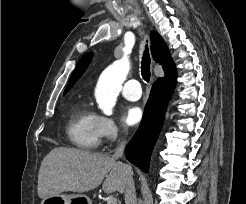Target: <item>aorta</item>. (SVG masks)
Instances as JSON below:
<instances>
[{
  "instance_id": "aorta-1",
  "label": "aorta",
  "mask_w": 246,
  "mask_h": 204,
  "mask_svg": "<svg viewBox=\"0 0 246 204\" xmlns=\"http://www.w3.org/2000/svg\"><path fill=\"white\" fill-rule=\"evenodd\" d=\"M130 69V63L127 58L115 61L101 74L95 96L99 108L105 115L113 114V107L116 102L118 90L126 79Z\"/></svg>"
}]
</instances>
